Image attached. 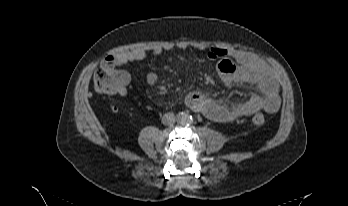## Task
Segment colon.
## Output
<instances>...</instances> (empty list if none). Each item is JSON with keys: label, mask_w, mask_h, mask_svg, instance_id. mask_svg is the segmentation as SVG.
I'll return each instance as SVG.
<instances>
[{"label": "colon", "mask_w": 348, "mask_h": 206, "mask_svg": "<svg viewBox=\"0 0 348 206\" xmlns=\"http://www.w3.org/2000/svg\"><path fill=\"white\" fill-rule=\"evenodd\" d=\"M127 78V73L118 69L115 57L108 56L95 72L94 86L100 94L113 95L122 90ZM110 109L117 110L114 105H111ZM265 121L266 118L262 113H255L252 117V122L256 126L263 125Z\"/></svg>", "instance_id": "colon-1"}]
</instances>
